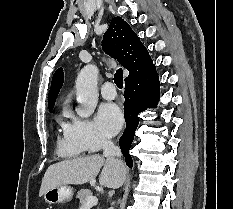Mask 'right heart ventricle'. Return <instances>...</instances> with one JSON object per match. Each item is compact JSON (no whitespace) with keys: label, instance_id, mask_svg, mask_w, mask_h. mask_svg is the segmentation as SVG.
Returning <instances> with one entry per match:
<instances>
[{"label":"right heart ventricle","instance_id":"right-heart-ventricle-1","mask_svg":"<svg viewBox=\"0 0 233 209\" xmlns=\"http://www.w3.org/2000/svg\"><path fill=\"white\" fill-rule=\"evenodd\" d=\"M68 114L66 108L63 109L62 114L57 117V122L63 131V135L58 137L57 153L61 157L76 158L84 155L85 149L75 144L68 136L69 124L66 123L64 117Z\"/></svg>","mask_w":233,"mask_h":209}]
</instances>
